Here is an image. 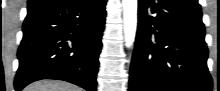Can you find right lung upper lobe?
Returning a JSON list of instances; mask_svg holds the SVG:
<instances>
[{
    "label": "right lung upper lobe",
    "instance_id": "cb5924a9",
    "mask_svg": "<svg viewBox=\"0 0 220 91\" xmlns=\"http://www.w3.org/2000/svg\"><path fill=\"white\" fill-rule=\"evenodd\" d=\"M37 1H40V0H29L28 4L29 3H34V2H37Z\"/></svg>",
    "mask_w": 220,
    "mask_h": 91
}]
</instances>
